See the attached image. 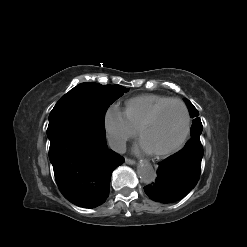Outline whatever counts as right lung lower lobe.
<instances>
[{
  "instance_id": "obj_1",
  "label": "right lung lower lobe",
  "mask_w": 247,
  "mask_h": 247,
  "mask_svg": "<svg viewBox=\"0 0 247 247\" xmlns=\"http://www.w3.org/2000/svg\"><path fill=\"white\" fill-rule=\"evenodd\" d=\"M49 159L63 196L83 208L103 204L109 195L113 170L124 159L108 149L105 132L77 118L49 121Z\"/></svg>"
}]
</instances>
